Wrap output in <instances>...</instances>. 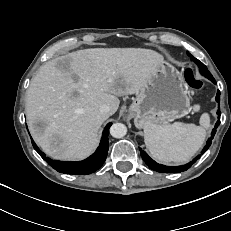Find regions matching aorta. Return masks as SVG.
Instances as JSON below:
<instances>
[{"label":"aorta","mask_w":231,"mask_h":231,"mask_svg":"<svg viewBox=\"0 0 231 231\" xmlns=\"http://www.w3.org/2000/svg\"><path fill=\"white\" fill-rule=\"evenodd\" d=\"M127 133V127L122 123H114L110 128V134L114 138H122Z\"/></svg>","instance_id":"762f6f07"}]
</instances>
